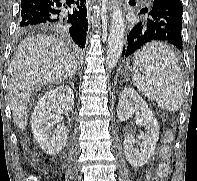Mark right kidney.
<instances>
[{
	"instance_id": "1",
	"label": "right kidney",
	"mask_w": 197,
	"mask_h": 181,
	"mask_svg": "<svg viewBox=\"0 0 197 181\" xmlns=\"http://www.w3.org/2000/svg\"><path fill=\"white\" fill-rule=\"evenodd\" d=\"M74 107V94L70 87L59 86L47 91L37 102L32 114L31 128L39 146L49 155H56L67 143L69 131L63 124L55 132L53 125L59 121L60 114Z\"/></svg>"
}]
</instances>
